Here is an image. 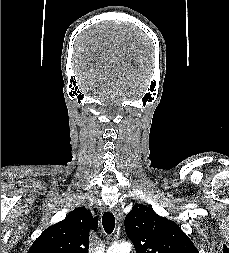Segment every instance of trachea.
<instances>
[{
  "label": "trachea",
  "mask_w": 229,
  "mask_h": 253,
  "mask_svg": "<svg viewBox=\"0 0 229 253\" xmlns=\"http://www.w3.org/2000/svg\"><path fill=\"white\" fill-rule=\"evenodd\" d=\"M103 228L107 234H111L115 228V217L111 212H105L102 217Z\"/></svg>",
  "instance_id": "3493384b"
}]
</instances>
